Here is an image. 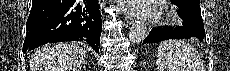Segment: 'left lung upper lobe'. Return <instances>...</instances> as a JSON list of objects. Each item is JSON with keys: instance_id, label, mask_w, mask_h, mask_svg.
<instances>
[{"instance_id": "1", "label": "left lung upper lobe", "mask_w": 230, "mask_h": 71, "mask_svg": "<svg viewBox=\"0 0 230 71\" xmlns=\"http://www.w3.org/2000/svg\"><path fill=\"white\" fill-rule=\"evenodd\" d=\"M180 0H172L173 3L178 2ZM197 2H200V0H196Z\"/></svg>"}]
</instances>
